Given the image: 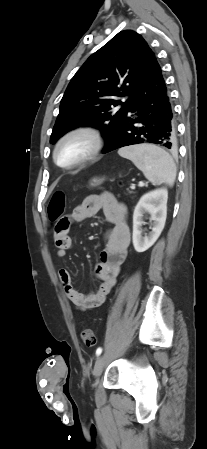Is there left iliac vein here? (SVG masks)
<instances>
[{
	"mask_svg": "<svg viewBox=\"0 0 207 449\" xmlns=\"http://www.w3.org/2000/svg\"><path fill=\"white\" fill-rule=\"evenodd\" d=\"M106 363H107V355H101L96 360L95 365H94V369H93V375L95 377L98 378L102 374V372H103V370H104V368L106 366Z\"/></svg>",
	"mask_w": 207,
	"mask_h": 449,
	"instance_id": "obj_1",
	"label": "left iliac vein"
}]
</instances>
